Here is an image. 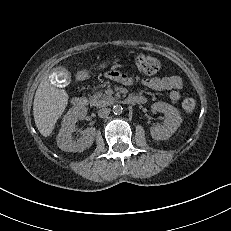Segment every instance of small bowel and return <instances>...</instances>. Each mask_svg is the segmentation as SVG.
Here are the masks:
<instances>
[{
    "mask_svg": "<svg viewBox=\"0 0 231 231\" xmlns=\"http://www.w3.org/2000/svg\"><path fill=\"white\" fill-rule=\"evenodd\" d=\"M105 76L125 86H131L136 82H140L145 87L153 90H168L170 91L169 98L174 102L180 99V91L183 87L182 79L173 74H165L162 76H154L140 80L138 77L129 76L127 74L111 70L107 71Z\"/></svg>",
    "mask_w": 231,
    "mask_h": 231,
    "instance_id": "obj_1",
    "label": "small bowel"
}]
</instances>
